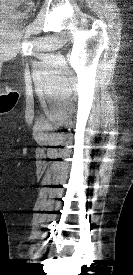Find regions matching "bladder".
Returning a JSON list of instances; mask_svg holds the SVG:
<instances>
[{
    "instance_id": "bladder-1",
    "label": "bladder",
    "mask_w": 133,
    "mask_h": 275,
    "mask_svg": "<svg viewBox=\"0 0 133 275\" xmlns=\"http://www.w3.org/2000/svg\"><path fill=\"white\" fill-rule=\"evenodd\" d=\"M3 2L14 3L15 0H0V4ZM0 18L14 24L23 21L26 18V13L23 11H9L8 13H3L0 8Z\"/></svg>"
}]
</instances>
